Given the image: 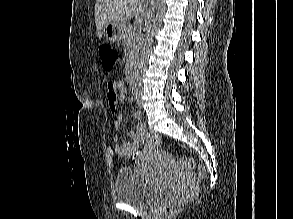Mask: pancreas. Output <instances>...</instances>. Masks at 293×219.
Instances as JSON below:
<instances>
[{"label": "pancreas", "instance_id": "pancreas-1", "mask_svg": "<svg viewBox=\"0 0 293 219\" xmlns=\"http://www.w3.org/2000/svg\"><path fill=\"white\" fill-rule=\"evenodd\" d=\"M140 39L138 29H134L132 26L126 27L122 42L126 50L127 68L132 67L137 60Z\"/></svg>", "mask_w": 293, "mask_h": 219}]
</instances>
